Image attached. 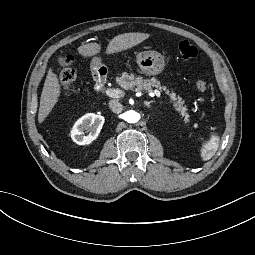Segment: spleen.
I'll use <instances>...</instances> for the list:
<instances>
[{"instance_id":"1","label":"spleen","mask_w":255,"mask_h":255,"mask_svg":"<svg viewBox=\"0 0 255 255\" xmlns=\"http://www.w3.org/2000/svg\"><path fill=\"white\" fill-rule=\"evenodd\" d=\"M220 135L218 132L213 131L208 140L202 141L201 146L198 148V153L202 161L210 160L219 148Z\"/></svg>"}]
</instances>
